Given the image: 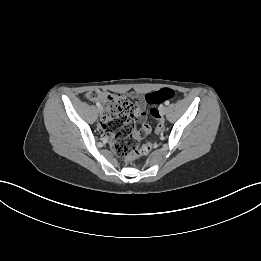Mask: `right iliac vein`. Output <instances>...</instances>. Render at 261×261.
Returning a JSON list of instances; mask_svg holds the SVG:
<instances>
[{
  "label": "right iliac vein",
  "instance_id": "right-iliac-vein-1",
  "mask_svg": "<svg viewBox=\"0 0 261 261\" xmlns=\"http://www.w3.org/2000/svg\"><path fill=\"white\" fill-rule=\"evenodd\" d=\"M98 111H99L100 114L103 113V107H99Z\"/></svg>",
  "mask_w": 261,
  "mask_h": 261
}]
</instances>
